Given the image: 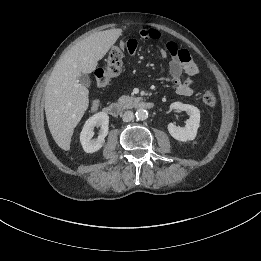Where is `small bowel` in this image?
Returning a JSON list of instances; mask_svg holds the SVG:
<instances>
[{
	"label": "small bowel",
	"instance_id": "small-bowel-1",
	"mask_svg": "<svg viewBox=\"0 0 261 261\" xmlns=\"http://www.w3.org/2000/svg\"><path fill=\"white\" fill-rule=\"evenodd\" d=\"M140 38L143 40H157L161 34L157 29L144 28L139 32ZM121 48L128 54H134L137 42L135 39H129L120 42ZM160 55L163 58H169V74L163 77V80L171 83L176 90V93L182 96H191L194 93V78L199 73L198 66L191 58V55L186 49L180 48L175 42H166L164 48L159 50ZM185 73L188 76L187 80H182L181 76ZM100 105V101L95 99L91 107L93 110H97Z\"/></svg>",
	"mask_w": 261,
	"mask_h": 261
}]
</instances>
